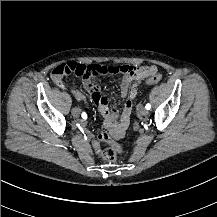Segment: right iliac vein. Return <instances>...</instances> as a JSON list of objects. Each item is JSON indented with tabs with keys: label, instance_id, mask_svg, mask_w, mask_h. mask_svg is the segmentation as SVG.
<instances>
[{
	"label": "right iliac vein",
	"instance_id": "1",
	"mask_svg": "<svg viewBox=\"0 0 217 217\" xmlns=\"http://www.w3.org/2000/svg\"><path fill=\"white\" fill-rule=\"evenodd\" d=\"M74 118H77L80 115V110L77 107H74L71 111Z\"/></svg>",
	"mask_w": 217,
	"mask_h": 217
}]
</instances>
